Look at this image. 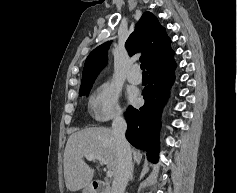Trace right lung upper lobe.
Segmentation results:
<instances>
[{"label":"right lung upper lobe","instance_id":"cb5924a9","mask_svg":"<svg viewBox=\"0 0 237 193\" xmlns=\"http://www.w3.org/2000/svg\"><path fill=\"white\" fill-rule=\"evenodd\" d=\"M171 40L165 29L151 12H145L136 24L134 32L126 41L125 47L130 55L142 52L147 69L154 63L173 53ZM110 42L95 48L87 57L82 74L80 89L92 86L98 73L107 62V50Z\"/></svg>","mask_w":237,"mask_h":193}]
</instances>
